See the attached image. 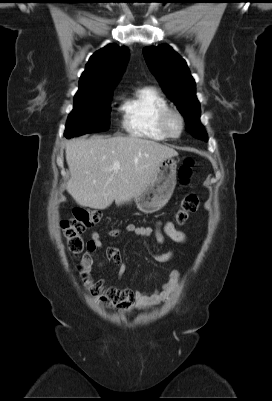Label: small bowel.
<instances>
[{"label":"small bowel","instance_id":"1","mask_svg":"<svg viewBox=\"0 0 272 401\" xmlns=\"http://www.w3.org/2000/svg\"><path fill=\"white\" fill-rule=\"evenodd\" d=\"M123 231L141 238H148L153 235L159 244L164 243L166 238L176 243H184L186 240L185 234L178 230L172 222L159 224L155 228L128 224L123 230L118 228L109 230L108 235L111 237H119ZM102 247L103 240L100 234L98 232H93L91 239L87 242L86 252L81 260V269L84 273L91 274L92 270L97 266L95 263V255ZM153 256L158 260L167 261L174 256V253H153ZM106 260L113 262L117 266L119 277L125 273L126 265L122 261L120 253L116 248H108L106 250ZM180 283L181 277L179 271L173 270L166 277L162 287L151 292L130 289L120 290L114 287H106L104 280H98L96 288L109 293L116 302L118 311L127 313L132 307L144 310L155 304L166 302L180 286Z\"/></svg>","mask_w":272,"mask_h":401}]
</instances>
